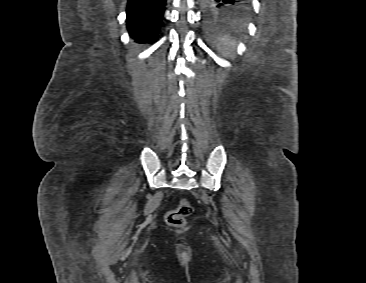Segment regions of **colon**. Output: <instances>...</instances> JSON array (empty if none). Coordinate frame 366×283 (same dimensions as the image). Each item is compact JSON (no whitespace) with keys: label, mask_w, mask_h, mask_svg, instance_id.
Instances as JSON below:
<instances>
[{"label":"colon","mask_w":366,"mask_h":283,"mask_svg":"<svg viewBox=\"0 0 366 283\" xmlns=\"http://www.w3.org/2000/svg\"><path fill=\"white\" fill-rule=\"evenodd\" d=\"M193 212V207L190 202L183 198L179 201L178 205L168 211L166 215V221L170 226L183 228L186 226V218Z\"/></svg>","instance_id":"5ec220e1"}]
</instances>
